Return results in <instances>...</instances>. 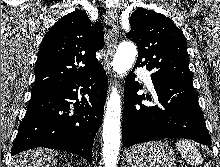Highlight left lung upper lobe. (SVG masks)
<instances>
[{"instance_id": "obj_1", "label": "left lung upper lobe", "mask_w": 220, "mask_h": 167, "mask_svg": "<svg viewBox=\"0 0 220 167\" xmlns=\"http://www.w3.org/2000/svg\"><path fill=\"white\" fill-rule=\"evenodd\" d=\"M130 25L126 37L139 50L135 67L145 66L153 79L193 84L184 34L169 18L139 8L131 15Z\"/></svg>"}]
</instances>
